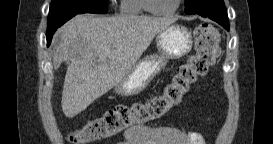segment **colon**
Masks as SVG:
<instances>
[{
    "label": "colon",
    "mask_w": 273,
    "mask_h": 144,
    "mask_svg": "<svg viewBox=\"0 0 273 144\" xmlns=\"http://www.w3.org/2000/svg\"><path fill=\"white\" fill-rule=\"evenodd\" d=\"M194 39L195 53L178 68L161 92L144 101L113 107L72 133L70 141L80 144L107 139L157 120L179 105L190 87L208 73L220 54V36L211 24L202 23L196 27Z\"/></svg>",
    "instance_id": "1"
}]
</instances>
